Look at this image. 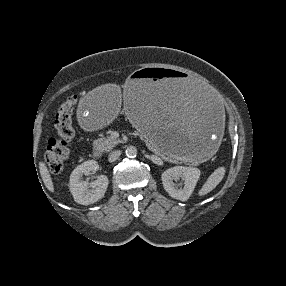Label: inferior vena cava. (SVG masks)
Masks as SVG:
<instances>
[{"label":"inferior vena cava","instance_id":"1","mask_svg":"<svg viewBox=\"0 0 286 286\" xmlns=\"http://www.w3.org/2000/svg\"><path fill=\"white\" fill-rule=\"evenodd\" d=\"M120 155H121V151L120 150H115V151L111 152L109 154V157H108L109 162L116 161L119 158Z\"/></svg>","mask_w":286,"mask_h":286}]
</instances>
